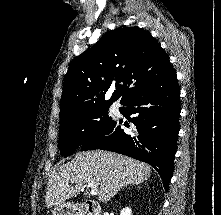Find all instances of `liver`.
Instances as JSON below:
<instances>
[{"label":"liver","instance_id":"1","mask_svg":"<svg viewBox=\"0 0 221 215\" xmlns=\"http://www.w3.org/2000/svg\"><path fill=\"white\" fill-rule=\"evenodd\" d=\"M151 175L149 165L114 152H79L57 168L48 180L45 206L51 208L76 197L88 184L98 191V201L108 202L121 188L138 185Z\"/></svg>","mask_w":221,"mask_h":215}]
</instances>
